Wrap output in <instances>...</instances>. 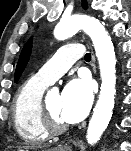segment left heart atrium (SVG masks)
I'll return each mask as SVG.
<instances>
[{"label":"left heart atrium","instance_id":"39dd6f15","mask_svg":"<svg viewBox=\"0 0 131 151\" xmlns=\"http://www.w3.org/2000/svg\"><path fill=\"white\" fill-rule=\"evenodd\" d=\"M93 101V88L89 79H72L61 94V118L67 123L81 121L88 114Z\"/></svg>","mask_w":131,"mask_h":151}]
</instances>
